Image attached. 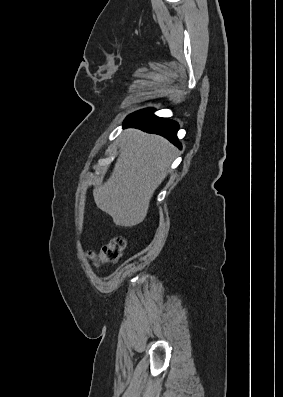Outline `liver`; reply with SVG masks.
<instances>
[{
	"mask_svg": "<svg viewBox=\"0 0 283 397\" xmlns=\"http://www.w3.org/2000/svg\"><path fill=\"white\" fill-rule=\"evenodd\" d=\"M120 153L110 178L94 188L99 209L118 226L133 227L148 212L153 193L167 176L175 147L166 139L128 129L120 139Z\"/></svg>",
	"mask_w": 283,
	"mask_h": 397,
	"instance_id": "6515ba94",
	"label": "liver"
}]
</instances>
